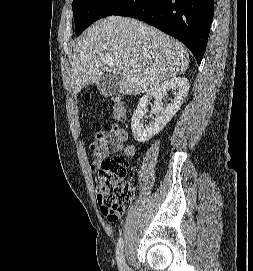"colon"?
<instances>
[{
  "label": "colon",
  "mask_w": 253,
  "mask_h": 271,
  "mask_svg": "<svg viewBox=\"0 0 253 271\" xmlns=\"http://www.w3.org/2000/svg\"><path fill=\"white\" fill-rule=\"evenodd\" d=\"M89 97L91 96L88 94ZM114 116L126 118V108L119 95L109 97ZM128 161L122 156L104 158L96 175V193L101 210L110 222L117 221L134 197V187L126 183Z\"/></svg>",
  "instance_id": "1"
}]
</instances>
